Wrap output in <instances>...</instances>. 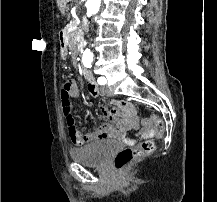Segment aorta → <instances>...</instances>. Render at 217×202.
Wrapping results in <instances>:
<instances>
[{
  "label": "aorta",
  "mask_w": 217,
  "mask_h": 202,
  "mask_svg": "<svg viewBox=\"0 0 217 202\" xmlns=\"http://www.w3.org/2000/svg\"><path fill=\"white\" fill-rule=\"evenodd\" d=\"M101 0H87L86 8L89 14H98ZM93 54L91 50H85L83 54V62H92Z\"/></svg>",
  "instance_id": "aorta-1"
}]
</instances>
